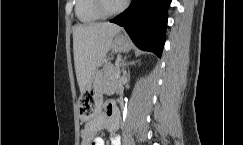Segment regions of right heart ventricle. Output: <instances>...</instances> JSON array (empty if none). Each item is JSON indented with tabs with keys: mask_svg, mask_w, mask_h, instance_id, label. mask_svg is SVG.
<instances>
[{
	"mask_svg": "<svg viewBox=\"0 0 243 145\" xmlns=\"http://www.w3.org/2000/svg\"><path fill=\"white\" fill-rule=\"evenodd\" d=\"M75 14L83 24H94L103 18L96 11L94 0H75Z\"/></svg>",
	"mask_w": 243,
	"mask_h": 145,
	"instance_id": "obj_1",
	"label": "right heart ventricle"
}]
</instances>
